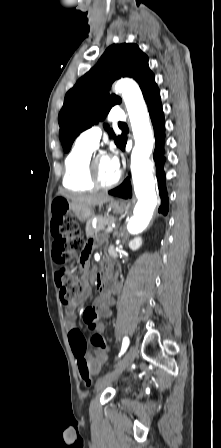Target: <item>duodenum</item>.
<instances>
[{
    "label": "duodenum",
    "instance_id": "duodenum-1",
    "mask_svg": "<svg viewBox=\"0 0 221 448\" xmlns=\"http://www.w3.org/2000/svg\"><path fill=\"white\" fill-rule=\"evenodd\" d=\"M108 280L107 265L99 272L97 277L98 286L102 289L105 288Z\"/></svg>",
    "mask_w": 221,
    "mask_h": 448
}]
</instances>
